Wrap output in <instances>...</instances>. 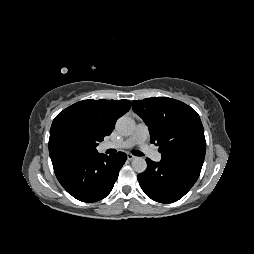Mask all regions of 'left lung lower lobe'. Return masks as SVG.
Instances as JSON below:
<instances>
[{
  "instance_id": "1",
  "label": "left lung lower lobe",
  "mask_w": 254,
  "mask_h": 254,
  "mask_svg": "<svg viewBox=\"0 0 254 254\" xmlns=\"http://www.w3.org/2000/svg\"><path fill=\"white\" fill-rule=\"evenodd\" d=\"M147 169L138 175L146 195L154 201L173 203L182 198L197 181L201 168L146 159Z\"/></svg>"
}]
</instances>
